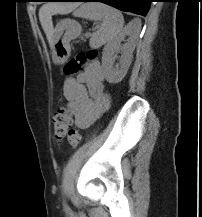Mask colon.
I'll return each mask as SVG.
<instances>
[{"label": "colon", "mask_w": 202, "mask_h": 217, "mask_svg": "<svg viewBox=\"0 0 202 217\" xmlns=\"http://www.w3.org/2000/svg\"><path fill=\"white\" fill-rule=\"evenodd\" d=\"M96 51L81 53L69 60L63 69L66 76L78 74L83 66L90 60L96 58ZM72 122L71 111L67 108H60L53 117V134L57 141L67 137L72 147H77L81 141V134L78 129L70 128Z\"/></svg>", "instance_id": "5ec220e1"}]
</instances>
